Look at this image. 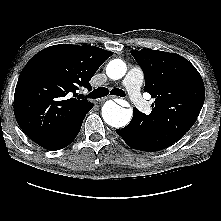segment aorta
I'll list each match as a JSON object with an SVG mask.
<instances>
[{"instance_id": "1", "label": "aorta", "mask_w": 221, "mask_h": 221, "mask_svg": "<svg viewBox=\"0 0 221 221\" xmlns=\"http://www.w3.org/2000/svg\"><path fill=\"white\" fill-rule=\"evenodd\" d=\"M127 71L124 61L121 59L111 60L106 67V74L110 79H121ZM102 117L104 121L115 128L126 126L132 118V110L125 109L114 101H107L102 107Z\"/></svg>"}]
</instances>
